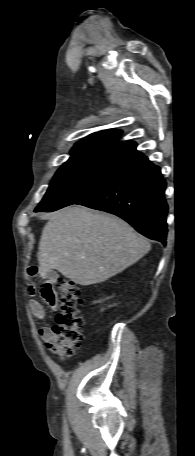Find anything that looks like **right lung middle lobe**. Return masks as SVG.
<instances>
[{
    "mask_svg": "<svg viewBox=\"0 0 195 456\" xmlns=\"http://www.w3.org/2000/svg\"><path fill=\"white\" fill-rule=\"evenodd\" d=\"M123 169L89 162L64 163L36 209L46 212L76 204L108 184Z\"/></svg>",
    "mask_w": 195,
    "mask_h": 456,
    "instance_id": "1",
    "label": "right lung middle lobe"
}]
</instances>
